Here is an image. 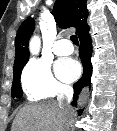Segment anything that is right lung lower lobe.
I'll use <instances>...</instances> for the list:
<instances>
[{
    "instance_id": "right-lung-lower-lobe-1",
    "label": "right lung lower lobe",
    "mask_w": 117,
    "mask_h": 131,
    "mask_svg": "<svg viewBox=\"0 0 117 131\" xmlns=\"http://www.w3.org/2000/svg\"><path fill=\"white\" fill-rule=\"evenodd\" d=\"M81 45H80V49H79V55L83 64V75L82 77L76 82L74 83V101L72 102V105L75 106L76 105V101H77V96L80 93V91L86 87V86H90V78L92 75V67H91V53H92V42H91V38L87 33H84L83 35L79 36ZM83 110H79L78 114L81 115Z\"/></svg>"
}]
</instances>
